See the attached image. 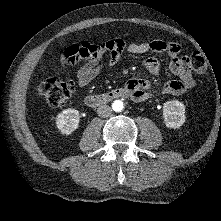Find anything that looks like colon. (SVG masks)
I'll list each match as a JSON object with an SVG mask.
<instances>
[{"label": "colon", "instance_id": "1", "mask_svg": "<svg viewBox=\"0 0 221 221\" xmlns=\"http://www.w3.org/2000/svg\"><path fill=\"white\" fill-rule=\"evenodd\" d=\"M79 57L77 45L67 47L61 54V59L67 64H73ZM189 66L198 74L207 72V64L204 57L196 52L186 58ZM39 95L51 106H64L74 93V85L70 81H62L58 78H49L38 86Z\"/></svg>", "mask_w": 221, "mask_h": 221}]
</instances>
